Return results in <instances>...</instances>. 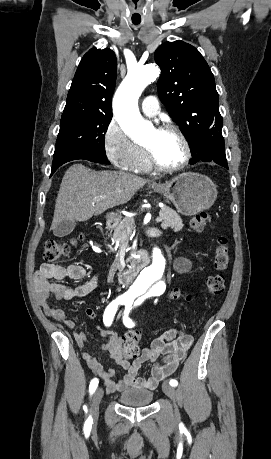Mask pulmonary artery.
<instances>
[{
  "label": "pulmonary artery",
  "instance_id": "obj_1",
  "mask_svg": "<svg viewBox=\"0 0 271 459\" xmlns=\"http://www.w3.org/2000/svg\"><path fill=\"white\" fill-rule=\"evenodd\" d=\"M142 111L147 116H156L160 111L157 95H148L141 104Z\"/></svg>",
  "mask_w": 271,
  "mask_h": 459
}]
</instances>
